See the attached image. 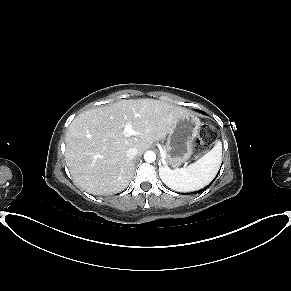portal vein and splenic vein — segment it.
<instances>
[{
  "mask_svg": "<svg viewBox=\"0 0 291 291\" xmlns=\"http://www.w3.org/2000/svg\"><path fill=\"white\" fill-rule=\"evenodd\" d=\"M124 134L125 136H132L136 135L137 132L132 128V125L130 123H126L124 126Z\"/></svg>",
  "mask_w": 291,
  "mask_h": 291,
  "instance_id": "18ae733b",
  "label": "portal vein and splenic vein"
}]
</instances>
